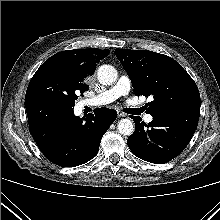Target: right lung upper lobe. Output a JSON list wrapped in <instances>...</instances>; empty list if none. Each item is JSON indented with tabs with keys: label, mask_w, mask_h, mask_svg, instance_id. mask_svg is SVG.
Segmentation results:
<instances>
[{
	"label": "right lung upper lobe",
	"mask_w": 220,
	"mask_h": 220,
	"mask_svg": "<svg viewBox=\"0 0 220 220\" xmlns=\"http://www.w3.org/2000/svg\"><path fill=\"white\" fill-rule=\"evenodd\" d=\"M109 53V49L97 48L66 50L53 55L42 66H63L81 75L89 76L95 72L97 63Z\"/></svg>",
	"instance_id": "1"
}]
</instances>
